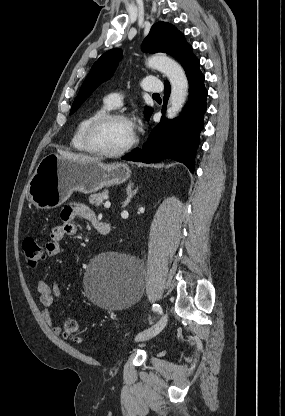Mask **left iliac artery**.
I'll list each match as a JSON object with an SVG mask.
<instances>
[{
	"mask_svg": "<svg viewBox=\"0 0 285 416\" xmlns=\"http://www.w3.org/2000/svg\"><path fill=\"white\" fill-rule=\"evenodd\" d=\"M152 309L154 311L158 312L159 314H162V308L159 304H157V303L153 304Z\"/></svg>",
	"mask_w": 285,
	"mask_h": 416,
	"instance_id": "1",
	"label": "left iliac artery"
}]
</instances>
